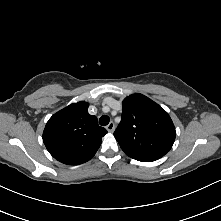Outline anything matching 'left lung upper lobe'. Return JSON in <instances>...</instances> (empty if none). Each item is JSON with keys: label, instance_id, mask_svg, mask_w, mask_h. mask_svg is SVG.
<instances>
[{"label": "left lung upper lobe", "instance_id": "obj_1", "mask_svg": "<svg viewBox=\"0 0 221 221\" xmlns=\"http://www.w3.org/2000/svg\"><path fill=\"white\" fill-rule=\"evenodd\" d=\"M122 104V119L114 132L121 149L131 158L154 161L163 157L176 137L168 113L139 93L126 97Z\"/></svg>", "mask_w": 221, "mask_h": 221}]
</instances>
